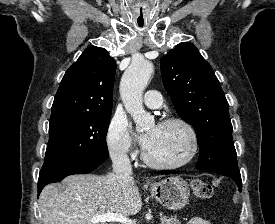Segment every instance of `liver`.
Instances as JSON below:
<instances>
[{"label":"liver","instance_id":"6515ba94","mask_svg":"<svg viewBox=\"0 0 275 224\" xmlns=\"http://www.w3.org/2000/svg\"><path fill=\"white\" fill-rule=\"evenodd\" d=\"M43 224H92L96 216L135 215L142 200L134 180L121 183L115 173L70 175L62 186L50 184L39 197Z\"/></svg>","mask_w":275,"mask_h":224}]
</instances>
